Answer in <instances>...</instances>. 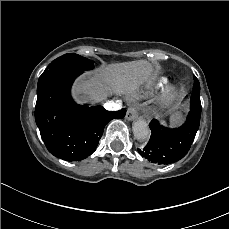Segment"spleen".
I'll list each match as a JSON object with an SVG mask.
<instances>
[{
  "label": "spleen",
  "mask_w": 229,
  "mask_h": 229,
  "mask_svg": "<svg viewBox=\"0 0 229 229\" xmlns=\"http://www.w3.org/2000/svg\"><path fill=\"white\" fill-rule=\"evenodd\" d=\"M183 121H184V118L182 117L181 112H175L170 117V122L172 126L175 124H181ZM161 124L166 125L165 121H161Z\"/></svg>",
  "instance_id": "3e777b00"
}]
</instances>
